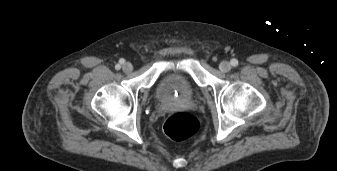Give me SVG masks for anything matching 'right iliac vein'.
I'll list each match as a JSON object with an SVG mask.
<instances>
[{
    "mask_svg": "<svg viewBox=\"0 0 337 171\" xmlns=\"http://www.w3.org/2000/svg\"><path fill=\"white\" fill-rule=\"evenodd\" d=\"M122 69H123V71H124L125 73H129V72L132 71L133 66H132L131 63L126 62V63H124V64L122 65Z\"/></svg>",
    "mask_w": 337,
    "mask_h": 171,
    "instance_id": "right-iliac-vein-1",
    "label": "right iliac vein"
}]
</instances>
